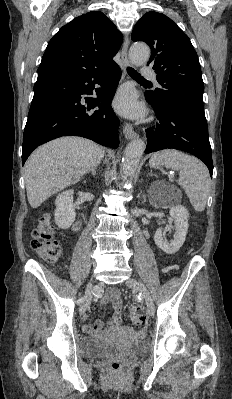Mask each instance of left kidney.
Wrapping results in <instances>:
<instances>
[{"label": "left kidney", "instance_id": "left-kidney-1", "mask_svg": "<svg viewBox=\"0 0 232 399\" xmlns=\"http://www.w3.org/2000/svg\"><path fill=\"white\" fill-rule=\"evenodd\" d=\"M155 194H159L160 188H157L155 184L154 188ZM171 217L174 219L175 225H169V227H173L175 229V233L173 235L174 239L172 241H167L165 237L162 235V229L163 227H159L157 231L154 233V241L160 249H163L165 253H175V251H178L180 249L181 245H183L187 231H188V217L189 213L184 207V205H173V207H170L169 211Z\"/></svg>", "mask_w": 232, "mask_h": 399}]
</instances>
